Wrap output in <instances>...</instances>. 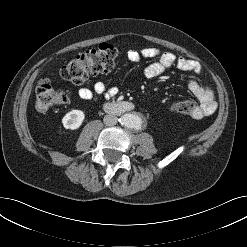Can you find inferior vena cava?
Returning a JSON list of instances; mask_svg holds the SVG:
<instances>
[{
	"label": "inferior vena cava",
	"mask_w": 247,
	"mask_h": 247,
	"mask_svg": "<svg viewBox=\"0 0 247 247\" xmlns=\"http://www.w3.org/2000/svg\"><path fill=\"white\" fill-rule=\"evenodd\" d=\"M103 122L106 126H114L118 122V118L114 115H105Z\"/></svg>",
	"instance_id": "1"
}]
</instances>
